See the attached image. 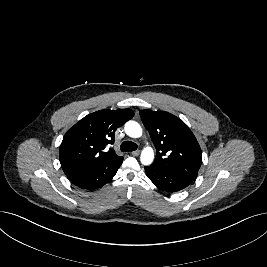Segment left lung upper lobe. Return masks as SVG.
Instances as JSON below:
<instances>
[{
    "instance_id": "left-lung-upper-lobe-1",
    "label": "left lung upper lobe",
    "mask_w": 267,
    "mask_h": 267,
    "mask_svg": "<svg viewBox=\"0 0 267 267\" xmlns=\"http://www.w3.org/2000/svg\"><path fill=\"white\" fill-rule=\"evenodd\" d=\"M139 113L156 148L152 165L195 179L202 163V153L189 127L165 111L141 110Z\"/></svg>"
}]
</instances>
